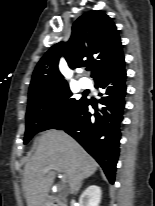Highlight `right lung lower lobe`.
Returning <instances> with one entry per match:
<instances>
[{"mask_svg":"<svg viewBox=\"0 0 155 206\" xmlns=\"http://www.w3.org/2000/svg\"><path fill=\"white\" fill-rule=\"evenodd\" d=\"M124 60L113 71L95 81L100 87L103 105L101 113L89 112L88 99L82 98L76 108L52 129H62L75 138L103 168L108 180L114 183L119 155L120 124L123 120L126 94Z\"/></svg>","mask_w":155,"mask_h":206,"instance_id":"obj_1","label":"right lung lower lobe"}]
</instances>
